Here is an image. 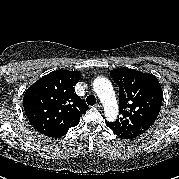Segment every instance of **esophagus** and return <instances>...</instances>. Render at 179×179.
<instances>
[{"instance_id":"esophagus-1","label":"esophagus","mask_w":179,"mask_h":179,"mask_svg":"<svg viewBox=\"0 0 179 179\" xmlns=\"http://www.w3.org/2000/svg\"><path fill=\"white\" fill-rule=\"evenodd\" d=\"M96 108L99 109V110H102V104L100 102H98L96 105Z\"/></svg>"}]
</instances>
